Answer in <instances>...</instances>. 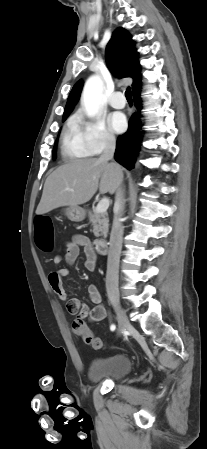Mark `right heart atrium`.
<instances>
[{"instance_id":"obj_1","label":"right heart atrium","mask_w":207,"mask_h":449,"mask_svg":"<svg viewBox=\"0 0 207 449\" xmlns=\"http://www.w3.org/2000/svg\"><path fill=\"white\" fill-rule=\"evenodd\" d=\"M82 139L91 155H98L116 144V137L100 119L78 118Z\"/></svg>"}]
</instances>
